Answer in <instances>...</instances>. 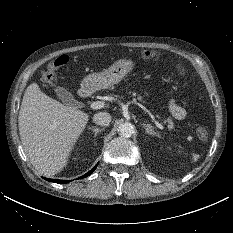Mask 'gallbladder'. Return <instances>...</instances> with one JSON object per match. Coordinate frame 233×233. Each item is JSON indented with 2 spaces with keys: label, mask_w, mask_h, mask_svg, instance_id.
<instances>
[{
  "label": "gallbladder",
  "mask_w": 233,
  "mask_h": 233,
  "mask_svg": "<svg viewBox=\"0 0 233 233\" xmlns=\"http://www.w3.org/2000/svg\"><path fill=\"white\" fill-rule=\"evenodd\" d=\"M57 97L65 104L69 106H77L78 102L74 99L73 95L65 88L57 86L54 89Z\"/></svg>",
  "instance_id": "obj_1"
}]
</instances>
